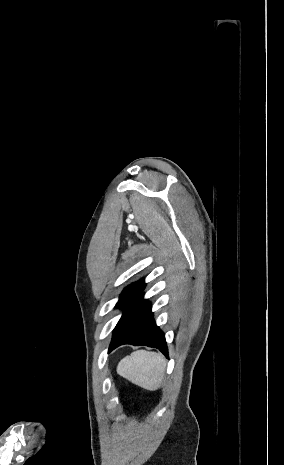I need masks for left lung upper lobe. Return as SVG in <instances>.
Returning a JSON list of instances; mask_svg holds the SVG:
<instances>
[{
    "label": "left lung upper lobe",
    "mask_w": 284,
    "mask_h": 465,
    "mask_svg": "<svg viewBox=\"0 0 284 465\" xmlns=\"http://www.w3.org/2000/svg\"><path fill=\"white\" fill-rule=\"evenodd\" d=\"M145 287L143 280L135 282L127 286L120 295L119 301L116 307L123 309L129 304L135 297H137Z\"/></svg>",
    "instance_id": "5c2ea615"
}]
</instances>
